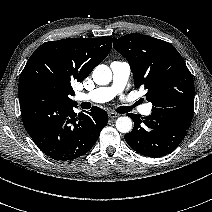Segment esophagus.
Instances as JSON below:
<instances>
[{"mask_svg":"<svg viewBox=\"0 0 212 212\" xmlns=\"http://www.w3.org/2000/svg\"><path fill=\"white\" fill-rule=\"evenodd\" d=\"M108 115L111 119H115V118L119 117V114H117L115 112H109Z\"/></svg>","mask_w":212,"mask_h":212,"instance_id":"obj_1","label":"esophagus"}]
</instances>
